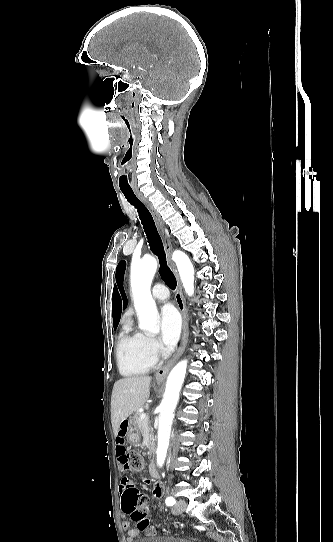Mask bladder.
<instances>
[{"label":"bladder","instance_id":"1","mask_svg":"<svg viewBox=\"0 0 333 542\" xmlns=\"http://www.w3.org/2000/svg\"><path fill=\"white\" fill-rule=\"evenodd\" d=\"M145 540H141L139 542H192L188 539L181 538V537H174L169 535H149L147 537H144Z\"/></svg>","mask_w":333,"mask_h":542}]
</instances>
